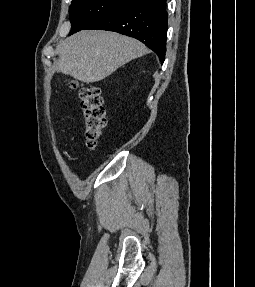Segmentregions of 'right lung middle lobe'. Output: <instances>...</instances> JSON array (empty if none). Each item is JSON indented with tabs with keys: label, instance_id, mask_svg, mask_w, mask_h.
I'll return each instance as SVG.
<instances>
[{
	"label": "right lung middle lobe",
	"instance_id": "right-lung-middle-lobe-1",
	"mask_svg": "<svg viewBox=\"0 0 255 287\" xmlns=\"http://www.w3.org/2000/svg\"><path fill=\"white\" fill-rule=\"evenodd\" d=\"M130 0H72L69 7L72 24L69 35L87 28L96 20Z\"/></svg>",
	"mask_w": 255,
	"mask_h": 287
}]
</instances>
